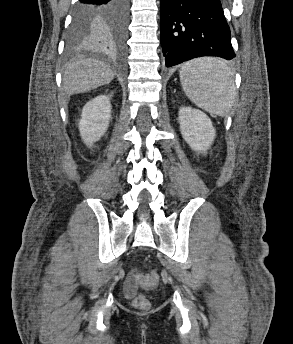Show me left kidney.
I'll return each mask as SVG.
<instances>
[{"mask_svg":"<svg viewBox=\"0 0 293 344\" xmlns=\"http://www.w3.org/2000/svg\"><path fill=\"white\" fill-rule=\"evenodd\" d=\"M178 121L182 137L189 146L194 151L206 152L216 136L211 119L200 110L181 107Z\"/></svg>","mask_w":293,"mask_h":344,"instance_id":"obj_1","label":"left kidney"}]
</instances>
